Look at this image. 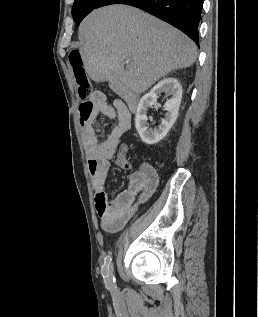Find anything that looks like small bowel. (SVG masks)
Here are the masks:
<instances>
[{"label":"small bowel","instance_id":"small-bowel-1","mask_svg":"<svg viewBox=\"0 0 258 317\" xmlns=\"http://www.w3.org/2000/svg\"><path fill=\"white\" fill-rule=\"evenodd\" d=\"M98 115L117 121L108 137L102 142L97 139L90 125ZM78 116L83 130L88 171L100 225L105 231L115 233L123 229L135 215L138 207L152 196L159 177L151 164L142 163L140 168L130 175L128 188L110 200L105 189V181L111 166L110 160L122 137L131 127V112L123 101L115 100L110 105L101 91H95L89 100L79 104Z\"/></svg>","mask_w":258,"mask_h":317}]
</instances>
